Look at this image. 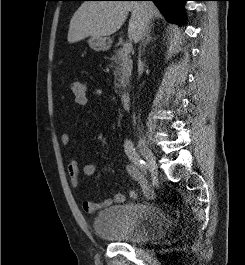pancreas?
Returning <instances> with one entry per match:
<instances>
[{
	"label": "pancreas",
	"instance_id": "1",
	"mask_svg": "<svg viewBox=\"0 0 245 265\" xmlns=\"http://www.w3.org/2000/svg\"><path fill=\"white\" fill-rule=\"evenodd\" d=\"M110 67L114 68V85L117 90H124L129 83V78L132 72V60L129 54H126L123 49L115 50V54L110 58ZM116 90V91H117Z\"/></svg>",
	"mask_w": 245,
	"mask_h": 265
}]
</instances>
